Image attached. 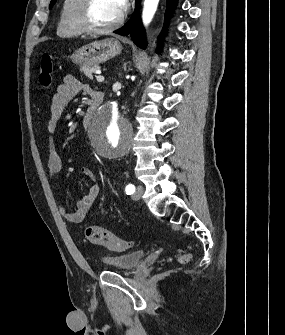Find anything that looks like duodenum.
I'll return each instance as SVG.
<instances>
[{
  "instance_id": "duodenum-1",
  "label": "duodenum",
  "mask_w": 285,
  "mask_h": 335,
  "mask_svg": "<svg viewBox=\"0 0 285 335\" xmlns=\"http://www.w3.org/2000/svg\"><path fill=\"white\" fill-rule=\"evenodd\" d=\"M100 100L99 99H95L92 101V103L89 105V107L87 108L84 116H83V126L87 127L91 118L93 117V115L95 114V111L97 109V107L99 106Z\"/></svg>"
}]
</instances>
